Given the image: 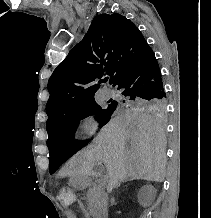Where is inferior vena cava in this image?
I'll return each instance as SVG.
<instances>
[{
	"mask_svg": "<svg viewBox=\"0 0 211 218\" xmlns=\"http://www.w3.org/2000/svg\"><path fill=\"white\" fill-rule=\"evenodd\" d=\"M108 176H109V180H108L107 190L108 192H112L114 188H117L119 184V180H113V176H111V174H108ZM111 200H113V198H111Z\"/></svg>",
	"mask_w": 211,
	"mask_h": 218,
	"instance_id": "inferior-vena-cava-1",
	"label": "inferior vena cava"
}]
</instances>
